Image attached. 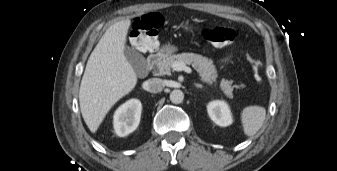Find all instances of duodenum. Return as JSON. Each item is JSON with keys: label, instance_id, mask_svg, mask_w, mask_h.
<instances>
[{"label": "duodenum", "instance_id": "410a0bca", "mask_svg": "<svg viewBox=\"0 0 337 171\" xmlns=\"http://www.w3.org/2000/svg\"><path fill=\"white\" fill-rule=\"evenodd\" d=\"M161 54L158 52L151 53L147 57V66L146 71L150 72L151 69L155 66V64L160 60Z\"/></svg>", "mask_w": 337, "mask_h": 171}]
</instances>
